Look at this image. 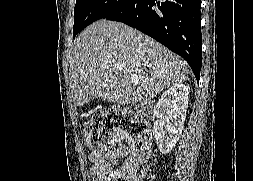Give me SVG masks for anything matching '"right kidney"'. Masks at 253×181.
Returning a JSON list of instances; mask_svg holds the SVG:
<instances>
[{"label": "right kidney", "instance_id": "obj_1", "mask_svg": "<svg viewBox=\"0 0 253 181\" xmlns=\"http://www.w3.org/2000/svg\"><path fill=\"white\" fill-rule=\"evenodd\" d=\"M189 90V86L184 84L174 85L157 102V120L154 122L153 132L162 154L169 153L180 138L188 108Z\"/></svg>", "mask_w": 253, "mask_h": 181}]
</instances>
